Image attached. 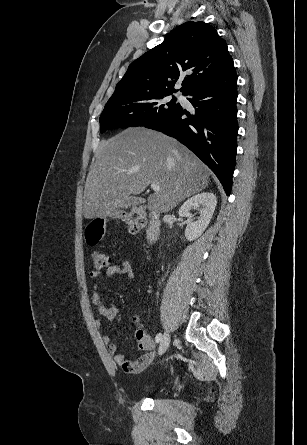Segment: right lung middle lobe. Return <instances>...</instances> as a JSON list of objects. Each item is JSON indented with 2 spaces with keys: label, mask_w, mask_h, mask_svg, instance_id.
Returning <instances> with one entry per match:
<instances>
[{
  "label": "right lung middle lobe",
  "mask_w": 307,
  "mask_h": 445,
  "mask_svg": "<svg viewBox=\"0 0 307 445\" xmlns=\"http://www.w3.org/2000/svg\"><path fill=\"white\" fill-rule=\"evenodd\" d=\"M171 94H152L113 97L107 102L100 116V132L121 128L146 126L164 118L180 106Z\"/></svg>",
  "instance_id": "dd1d6c3e"
}]
</instances>
